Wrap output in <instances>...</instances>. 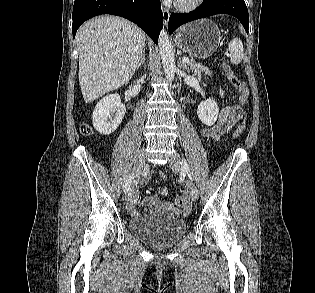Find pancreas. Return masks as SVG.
<instances>
[{
    "instance_id": "cf45deb5",
    "label": "pancreas",
    "mask_w": 315,
    "mask_h": 293,
    "mask_svg": "<svg viewBox=\"0 0 315 293\" xmlns=\"http://www.w3.org/2000/svg\"><path fill=\"white\" fill-rule=\"evenodd\" d=\"M188 68L193 72V75L197 76L198 78H200L202 75L203 76L212 75L211 71H209L207 67H204L203 65L199 63L190 61L188 63Z\"/></svg>"
}]
</instances>
